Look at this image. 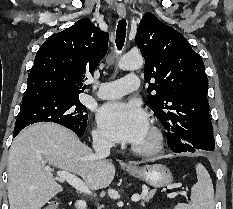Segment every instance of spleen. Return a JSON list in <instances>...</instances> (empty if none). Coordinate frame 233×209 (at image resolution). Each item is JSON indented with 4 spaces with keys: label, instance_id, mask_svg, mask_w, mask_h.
Segmentation results:
<instances>
[{
    "label": "spleen",
    "instance_id": "obj_1",
    "mask_svg": "<svg viewBox=\"0 0 233 209\" xmlns=\"http://www.w3.org/2000/svg\"><path fill=\"white\" fill-rule=\"evenodd\" d=\"M197 182L191 188V203L178 204L175 209H215L212 179L202 164L196 165Z\"/></svg>",
    "mask_w": 233,
    "mask_h": 209
}]
</instances>
